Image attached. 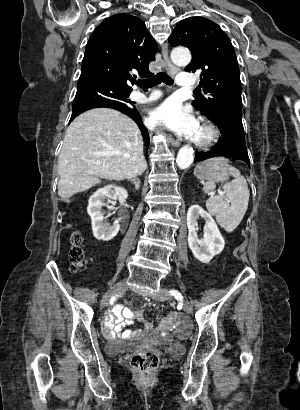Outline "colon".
I'll return each instance as SVG.
<instances>
[{"label":"colon","instance_id":"colon-1","mask_svg":"<svg viewBox=\"0 0 300 410\" xmlns=\"http://www.w3.org/2000/svg\"><path fill=\"white\" fill-rule=\"evenodd\" d=\"M83 237L79 232H74L71 236V249L69 259L71 270L77 271L85 264V250L82 246ZM166 323L171 325L177 321V315L166 313ZM160 362L159 355L156 352L142 350L133 353L130 356V365L142 377H150L153 371L158 367Z\"/></svg>","mask_w":300,"mask_h":410}]
</instances>
